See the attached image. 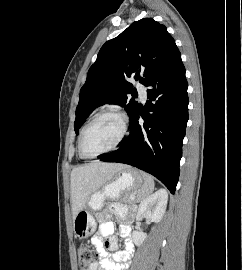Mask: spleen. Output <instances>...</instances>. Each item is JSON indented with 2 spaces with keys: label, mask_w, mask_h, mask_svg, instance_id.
Instances as JSON below:
<instances>
[{
  "label": "spleen",
  "mask_w": 242,
  "mask_h": 270,
  "mask_svg": "<svg viewBox=\"0 0 242 270\" xmlns=\"http://www.w3.org/2000/svg\"><path fill=\"white\" fill-rule=\"evenodd\" d=\"M141 174L144 179V184L141 187V190L139 191L138 196H137V199L139 201H142L143 199L148 197L153 192V189H154L153 177L144 172H142Z\"/></svg>",
  "instance_id": "1"
}]
</instances>
